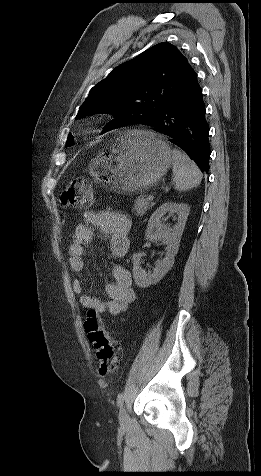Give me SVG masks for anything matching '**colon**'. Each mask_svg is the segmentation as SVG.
<instances>
[{
    "mask_svg": "<svg viewBox=\"0 0 261 476\" xmlns=\"http://www.w3.org/2000/svg\"><path fill=\"white\" fill-rule=\"evenodd\" d=\"M64 208H88L94 202L89 181L85 178L71 180L60 195ZM84 329L96 352L98 372L101 376L117 371L121 349L119 343L105 330L98 313L90 310L84 321Z\"/></svg>",
    "mask_w": 261,
    "mask_h": 476,
    "instance_id": "1",
    "label": "colon"
}]
</instances>
